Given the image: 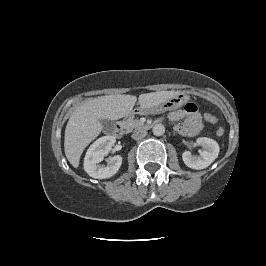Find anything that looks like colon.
<instances>
[{
  "label": "colon",
  "instance_id": "obj_1",
  "mask_svg": "<svg viewBox=\"0 0 266 266\" xmlns=\"http://www.w3.org/2000/svg\"><path fill=\"white\" fill-rule=\"evenodd\" d=\"M204 119H205V121H206L207 123H210V124H214V123L217 122V118H216V116L213 115V114H210V113H206V114L204 115ZM216 134H217L218 136H222V135L224 134V129L221 128V127H218L217 130H216Z\"/></svg>",
  "mask_w": 266,
  "mask_h": 266
}]
</instances>
